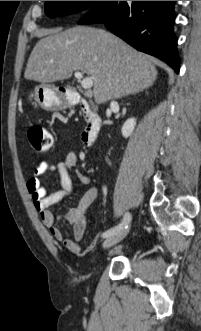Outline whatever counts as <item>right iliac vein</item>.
<instances>
[{"label":"right iliac vein","instance_id":"63e3f726","mask_svg":"<svg viewBox=\"0 0 201 331\" xmlns=\"http://www.w3.org/2000/svg\"><path fill=\"white\" fill-rule=\"evenodd\" d=\"M129 232V227L123 228L120 231L116 232L115 234L107 237L105 241L103 242V248H110L113 245L119 243L121 240L125 238V236Z\"/></svg>","mask_w":201,"mask_h":331}]
</instances>
